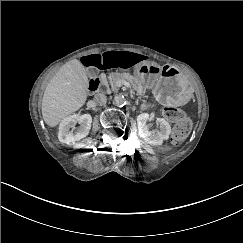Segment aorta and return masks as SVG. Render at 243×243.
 I'll return each mask as SVG.
<instances>
[{"mask_svg":"<svg viewBox=\"0 0 243 243\" xmlns=\"http://www.w3.org/2000/svg\"><path fill=\"white\" fill-rule=\"evenodd\" d=\"M114 104L117 106V107H124L126 105V98L123 96V95H116L114 97Z\"/></svg>","mask_w":243,"mask_h":243,"instance_id":"1","label":"aorta"}]
</instances>
